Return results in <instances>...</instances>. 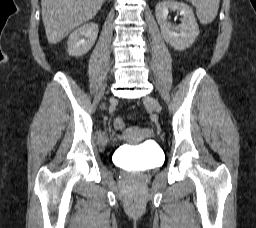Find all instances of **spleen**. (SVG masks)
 Segmentation results:
<instances>
[{
  "label": "spleen",
  "instance_id": "1",
  "mask_svg": "<svg viewBox=\"0 0 256 228\" xmlns=\"http://www.w3.org/2000/svg\"><path fill=\"white\" fill-rule=\"evenodd\" d=\"M196 7V14L199 21L210 24L216 18L220 0H187Z\"/></svg>",
  "mask_w": 256,
  "mask_h": 228
}]
</instances>
